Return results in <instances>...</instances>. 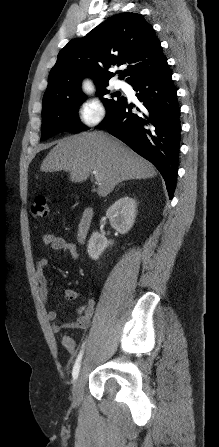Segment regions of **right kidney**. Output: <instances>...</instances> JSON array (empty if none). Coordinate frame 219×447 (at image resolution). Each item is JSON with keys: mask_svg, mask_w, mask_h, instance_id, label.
Instances as JSON below:
<instances>
[{"mask_svg": "<svg viewBox=\"0 0 219 447\" xmlns=\"http://www.w3.org/2000/svg\"><path fill=\"white\" fill-rule=\"evenodd\" d=\"M136 208V201L128 196L115 201L106 211L111 227L120 234H126L134 225ZM113 243V240H107L103 234L93 232L88 241V255L91 259L98 260L104 250Z\"/></svg>", "mask_w": 219, "mask_h": 447, "instance_id": "1", "label": "right kidney"}]
</instances>
